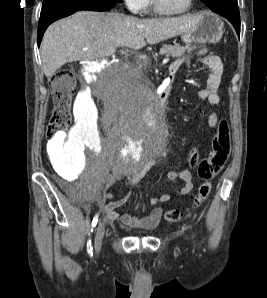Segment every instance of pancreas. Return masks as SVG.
<instances>
[{
	"mask_svg": "<svg viewBox=\"0 0 267 298\" xmlns=\"http://www.w3.org/2000/svg\"><path fill=\"white\" fill-rule=\"evenodd\" d=\"M191 51L189 46H178V45H163L160 49L159 54L172 56V57H181L185 52Z\"/></svg>",
	"mask_w": 267,
	"mask_h": 298,
	"instance_id": "obj_1",
	"label": "pancreas"
}]
</instances>
